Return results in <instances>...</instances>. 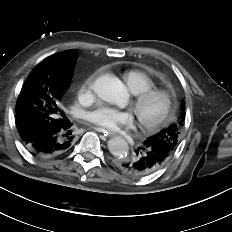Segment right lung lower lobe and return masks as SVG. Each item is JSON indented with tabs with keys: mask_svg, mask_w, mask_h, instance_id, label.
<instances>
[{
	"mask_svg": "<svg viewBox=\"0 0 232 232\" xmlns=\"http://www.w3.org/2000/svg\"><path fill=\"white\" fill-rule=\"evenodd\" d=\"M32 110H37V106L30 105ZM16 115V126L22 143L26 149L38 157H54L65 153L70 149L74 141L72 125L69 120L57 123L53 127L31 126L33 116Z\"/></svg>",
	"mask_w": 232,
	"mask_h": 232,
	"instance_id": "right-lung-lower-lobe-1",
	"label": "right lung lower lobe"
}]
</instances>
